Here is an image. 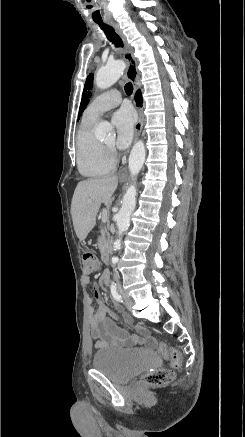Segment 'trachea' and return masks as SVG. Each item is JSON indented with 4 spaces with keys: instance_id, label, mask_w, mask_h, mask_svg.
<instances>
[{
    "instance_id": "obj_1",
    "label": "trachea",
    "mask_w": 245,
    "mask_h": 437,
    "mask_svg": "<svg viewBox=\"0 0 245 437\" xmlns=\"http://www.w3.org/2000/svg\"><path fill=\"white\" fill-rule=\"evenodd\" d=\"M96 23L104 31L105 35L107 36V39L110 42H112L116 47H123V42H122L121 38L116 34V32L114 31V29L112 27L107 26L103 22L96 21ZM124 90H125L127 95H131L133 92L132 84L130 82H128L124 86Z\"/></svg>"
}]
</instances>
